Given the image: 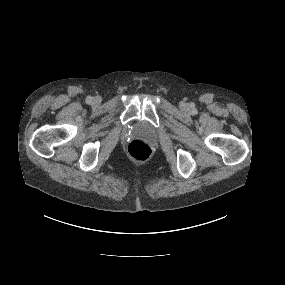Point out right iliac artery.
Wrapping results in <instances>:
<instances>
[{
	"label": "right iliac artery",
	"mask_w": 285,
	"mask_h": 285,
	"mask_svg": "<svg viewBox=\"0 0 285 285\" xmlns=\"http://www.w3.org/2000/svg\"><path fill=\"white\" fill-rule=\"evenodd\" d=\"M92 99H93V98H92L91 96H88V97L86 98V102H87V103H91V102H92Z\"/></svg>",
	"instance_id": "1"
}]
</instances>
